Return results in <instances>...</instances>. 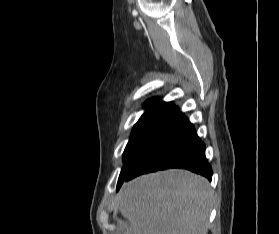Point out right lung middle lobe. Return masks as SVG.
<instances>
[{"mask_svg": "<svg viewBox=\"0 0 279 234\" xmlns=\"http://www.w3.org/2000/svg\"><path fill=\"white\" fill-rule=\"evenodd\" d=\"M172 110L173 108L147 110L138 120L123 154L124 165L118 179L117 190L123 183L124 178L143 145Z\"/></svg>", "mask_w": 279, "mask_h": 234, "instance_id": "dd1d6c3e", "label": "right lung middle lobe"}]
</instances>
